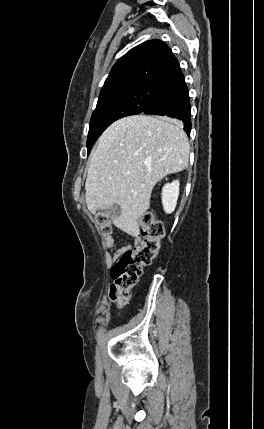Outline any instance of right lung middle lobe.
I'll return each instance as SVG.
<instances>
[{"instance_id": "right-lung-middle-lobe-1", "label": "right lung middle lobe", "mask_w": 264, "mask_h": 429, "mask_svg": "<svg viewBox=\"0 0 264 429\" xmlns=\"http://www.w3.org/2000/svg\"><path fill=\"white\" fill-rule=\"evenodd\" d=\"M158 89L159 86L142 84L99 96L90 121L87 139L88 154L94 142L110 124L125 116L142 113Z\"/></svg>"}]
</instances>
